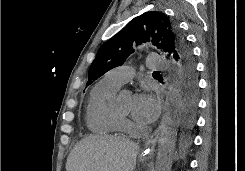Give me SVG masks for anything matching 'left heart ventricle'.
Returning a JSON list of instances; mask_svg holds the SVG:
<instances>
[{
    "label": "left heart ventricle",
    "mask_w": 245,
    "mask_h": 171,
    "mask_svg": "<svg viewBox=\"0 0 245 171\" xmlns=\"http://www.w3.org/2000/svg\"><path fill=\"white\" fill-rule=\"evenodd\" d=\"M133 96L130 95L126 97L118 107V110L125 114H130L133 106Z\"/></svg>",
    "instance_id": "1"
}]
</instances>
